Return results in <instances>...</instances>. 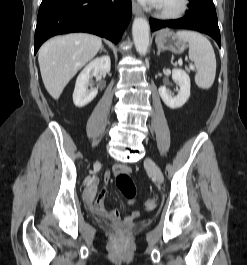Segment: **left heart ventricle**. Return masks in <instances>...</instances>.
<instances>
[{
	"mask_svg": "<svg viewBox=\"0 0 247 265\" xmlns=\"http://www.w3.org/2000/svg\"><path fill=\"white\" fill-rule=\"evenodd\" d=\"M176 3L177 0H161L159 4L163 7L172 8L176 5Z\"/></svg>",
	"mask_w": 247,
	"mask_h": 265,
	"instance_id": "b2bd125f",
	"label": "left heart ventricle"
}]
</instances>
